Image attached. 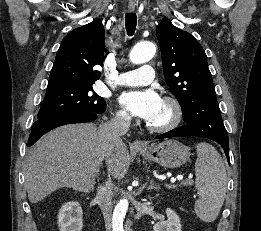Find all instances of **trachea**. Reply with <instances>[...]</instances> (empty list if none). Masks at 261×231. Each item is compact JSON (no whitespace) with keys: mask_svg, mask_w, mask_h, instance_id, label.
<instances>
[{"mask_svg":"<svg viewBox=\"0 0 261 231\" xmlns=\"http://www.w3.org/2000/svg\"><path fill=\"white\" fill-rule=\"evenodd\" d=\"M137 16L135 13H127L125 17L126 31L129 36H132L136 30Z\"/></svg>","mask_w":261,"mask_h":231,"instance_id":"trachea-1","label":"trachea"}]
</instances>
